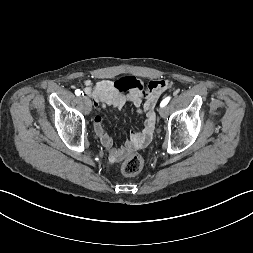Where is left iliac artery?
Returning a JSON list of instances; mask_svg holds the SVG:
<instances>
[{"mask_svg":"<svg viewBox=\"0 0 253 253\" xmlns=\"http://www.w3.org/2000/svg\"><path fill=\"white\" fill-rule=\"evenodd\" d=\"M171 97H166L165 99L162 100V102L160 103L161 107H164L168 104V102L170 101Z\"/></svg>","mask_w":253,"mask_h":253,"instance_id":"left-iliac-artery-1","label":"left iliac artery"}]
</instances>
